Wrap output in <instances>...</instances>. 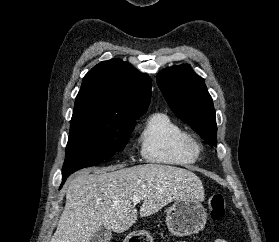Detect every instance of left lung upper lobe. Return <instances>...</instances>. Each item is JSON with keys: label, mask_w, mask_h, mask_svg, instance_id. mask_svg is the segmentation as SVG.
<instances>
[{"label": "left lung upper lobe", "mask_w": 279, "mask_h": 242, "mask_svg": "<svg viewBox=\"0 0 279 242\" xmlns=\"http://www.w3.org/2000/svg\"><path fill=\"white\" fill-rule=\"evenodd\" d=\"M157 84L174 114L216 146L215 110L204 79L190 65L182 64L159 72Z\"/></svg>", "instance_id": "obj_1"}]
</instances>
